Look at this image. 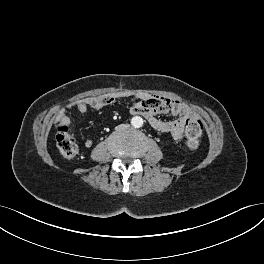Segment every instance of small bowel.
I'll list each match as a JSON object with an SVG mask.
<instances>
[{
	"label": "small bowel",
	"instance_id": "small-bowel-1",
	"mask_svg": "<svg viewBox=\"0 0 264 264\" xmlns=\"http://www.w3.org/2000/svg\"><path fill=\"white\" fill-rule=\"evenodd\" d=\"M128 97L132 99V114L143 115L158 133L170 134L176 140L183 138L187 121L191 118H196L195 112L185 103L142 91L136 93L120 91L89 97L73 103L69 108H74L78 112L86 114L89 111L101 110ZM166 113L177 116V118L170 121L157 118L158 114ZM56 120L60 124L68 123V116L65 109L58 112ZM92 144L91 139H87L84 142L87 148L91 147Z\"/></svg>",
	"mask_w": 264,
	"mask_h": 264
}]
</instances>
